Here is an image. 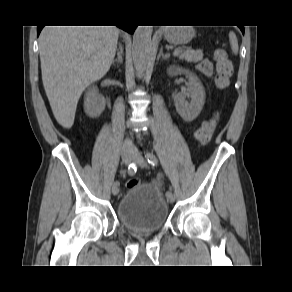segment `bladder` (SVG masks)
<instances>
[{"mask_svg": "<svg viewBox=\"0 0 292 292\" xmlns=\"http://www.w3.org/2000/svg\"><path fill=\"white\" fill-rule=\"evenodd\" d=\"M117 217L133 233H156L167 223L169 207L157 184L131 187L119 200Z\"/></svg>", "mask_w": 292, "mask_h": 292, "instance_id": "1", "label": "bladder"}]
</instances>
